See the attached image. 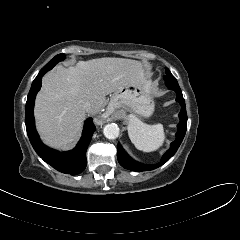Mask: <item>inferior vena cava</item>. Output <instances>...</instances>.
<instances>
[{
  "instance_id": "1",
  "label": "inferior vena cava",
  "mask_w": 240,
  "mask_h": 240,
  "mask_svg": "<svg viewBox=\"0 0 240 240\" xmlns=\"http://www.w3.org/2000/svg\"><path fill=\"white\" fill-rule=\"evenodd\" d=\"M83 109L86 111V112H90L92 107H91V104L89 102H86L84 105H83Z\"/></svg>"
}]
</instances>
